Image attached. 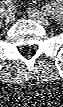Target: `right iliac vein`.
Returning a JSON list of instances; mask_svg holds the SVG:
<instances>
[{
  "mask_svg": "<svg viewBox=\"0 0 63 107\" xmlns=\"http://www.w3.org/2000/svg\"><path fill=\"white\" fill-rule=\"evenodd\" d=\"M5 20L7 23H10L14 20V14L11 11L5 13Z\"/></svg>",
  "mask_w": 63,
  "mask_h": 107,
  "instance_id": "obj_1",
  "label": "right iliac vein"
}]
</instances>
